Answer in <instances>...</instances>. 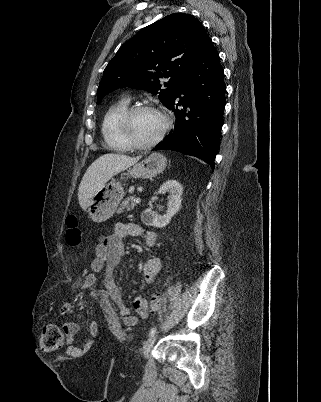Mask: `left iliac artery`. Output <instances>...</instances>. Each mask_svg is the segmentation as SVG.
<instances>
[{
    "instance_id": "obj_1",
    "label": "left iliac artery",
    "mask_w": 321,
    "mask_h": 402,
    "mask_svg": "<svg viewBox=\"0 0 321 402\" xmlns=\"http://www.w3.org/2000/svg\"><path fill=\"white\" fill-rule=\"evenodd\" d=\"M155 333H156V327H153V328L150 330L149 336H150V337H151V336H154Z\"/></svg>"
}]
</instances>
